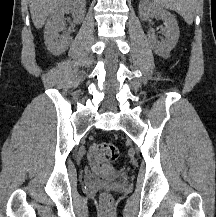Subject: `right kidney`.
Instances as JSON below:
<instances>
[{
	"label": "right kidney",
	"instance_id": "right-kidney-1",
	"mask_svg": "<svg viewBox=\"0 0 216 217\" xmlns=\"http://www.w3.org/2000/svg\"><path fill=\"white\" fill-rule=\"evenodd\" d=\"M68 13H72L74 24L81 23L86 13L85 0H66L50 14L45 26L44 41L47 49L54 55L62 54L71 44L69 32L59 34L66 30L64 15Z\"/></svg>",
	"mask_w": 216,
	"mask_h": 217
}]
</instances>
